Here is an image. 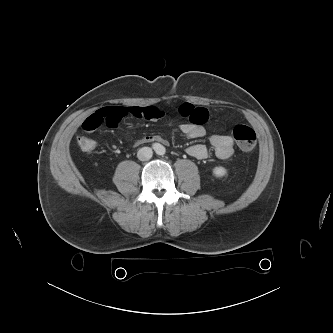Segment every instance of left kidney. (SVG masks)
I'll return each instance as SVG.
<instances>
[{"mask_svg":"<svg viewBox=\"0 0 333 333\" xmlns=\"http://www.w3.org/2000/svg\"><path fill=\"white\" fill-rule=\"evenodd\" d=\"M227 171L224 167H215L213 169V174L216 176V177H222L224 175H226Z\"/></svg>","mask_w":333,"mask_h":333,"instance_id":"obj_1","label":"left kidney"}]
</instances>
